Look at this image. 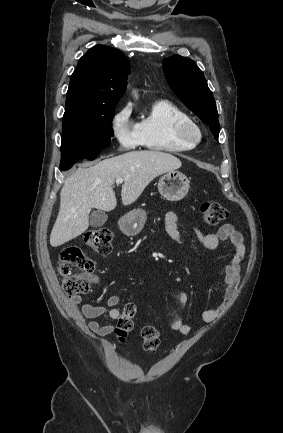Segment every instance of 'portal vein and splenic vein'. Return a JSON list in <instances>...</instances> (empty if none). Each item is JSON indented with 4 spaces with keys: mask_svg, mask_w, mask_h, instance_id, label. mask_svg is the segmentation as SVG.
I'll use <instances>...</instances> for the list:
<instances>
[{
    "mask_svg": "<svg viewBox=\"0 0 283 433\" xmlns=\"http://www.w3.org/2000/svg\"><path fill=\"white\" fill-rule=\"evenodd\" d=\"M127 178H129V176H126V178H116V184H121V182H123V180H127Z\"/></svg>",
    "mask_w": 283,
    "mask_h": 433,
    "instance_id": "1",
    "label": "portal vein and splenic vein"
}]
</instances>
